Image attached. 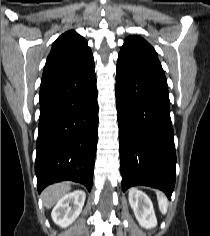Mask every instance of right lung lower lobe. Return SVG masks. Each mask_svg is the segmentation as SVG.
Segmentation results:
<instances>
[{"instance_id": "right-lung-lower-lobe-1", "label": "right lung lower lobe", "mask_w": 210, "mask_h": 236, "mask_svg": "<svg viewBox=\"0 0 210 236\" xmlns=\"http://www.w3.org/2000/svg\"><path fill=\"white\" fill-rule=\"evenodd\" d=\"M35 173L38 192L72 180L91 189L98 129L94 65L40 89Z\"/></svg>"}]
</instances>
